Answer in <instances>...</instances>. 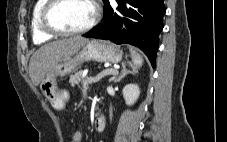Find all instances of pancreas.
<instances>
[{"label":"pancreas","mask_w":227,"mask_h":142,"mask_svg":"<svg viewBox=\"0 0 227 142\" xmlns=\"http://www.w3.org/2000/svg\"><path fill=\"white\" fill-rule=\"evenodd\" d=\"M83 71L80 70L70 77L69 83L71 86L78 85L80 82L84 85L87 82V79L83 77Z\"/></svg>","instance_id":"1"}]
</instances>
